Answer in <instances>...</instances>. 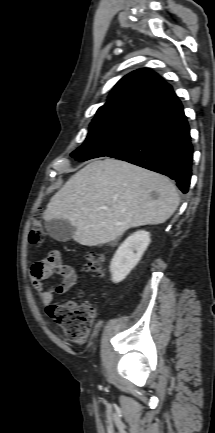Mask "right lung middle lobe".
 I'll use <instances>...</instances> for the list:
<instances>
[{"label":"right lung middle lobe","instance_id":"1","mask_svg":"<svg viewBox=\"0 0 215 433\" xmlns=\"http://www.w3.org/2000/svg\"><path fill=\"white\" fill-rule=\"evenodd\" d=\"M146 119L130 116L92 122L85 142L71 156L80 162L109 156L125 147L137 135Z\"/></svg>","mask_w":215,"mask_h":433}]
</instances>
